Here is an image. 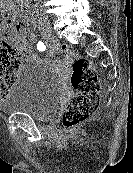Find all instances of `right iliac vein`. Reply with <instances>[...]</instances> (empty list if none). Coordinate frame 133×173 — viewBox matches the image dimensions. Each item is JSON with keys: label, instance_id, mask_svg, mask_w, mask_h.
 Segmentation results:
<instances>
[{"label": "right iliac vein", "instance_id": "obj_1", "mask_svg": "<svg viewBox=\"0 0 133 173\" xmlns=\"http://www.w3.org/2000/svg\"><path fill=\"white\" fill-rule=\"evenodd\" d=\"M36 15L38 17L41 26L44 28L45 32L47 33V37L51 38V25L48 17L42 11H37Z\"/></svg>", "mask_w": 133, "mask_h": 173}]
</instances>
